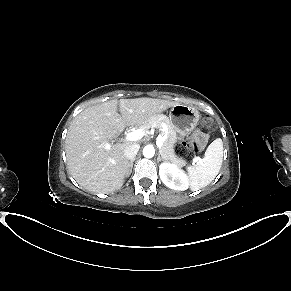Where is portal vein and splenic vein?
Instances as JSON below:
<instances>
[{"label": "portal vein and splenic vein", "instance_id": "obj_1", "mask_svg": "<svg viewBox=\"0 0 291 291\" xmlns=\"http://www.w3.org/2000/svg\"><path fill=\"white\" fill-rule=\"evenodd\" d=\"M145 135V130L144 129H137L134 130L130 133H128L125 137L126 141H138L140 140L143 136ZM167 139V134H165L164 136L159 134L156 138V145L161 148L163 146V142ZM107 149L110 147V145H106L105 146ZM201 158L198 156H195L193 159V162H200Z\"/></svg>", "mask_w": 291, "mask_h": 291}]
</instances>
